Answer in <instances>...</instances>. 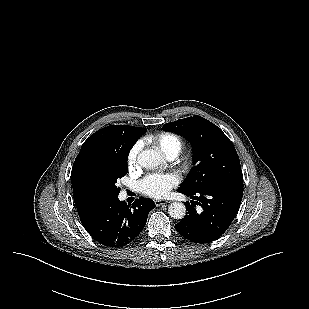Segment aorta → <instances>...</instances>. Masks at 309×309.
<instances>
[{"label": "aorta", "instance_id": "1", "mask_svg": "<svg viewBox=\"0 0 309 309\" xmlns=\"http://www.w3.org/2000/svg\"><path fill=\"white\" fill-rule=\"evenodd\" d=\"M138 164L145 169H153L163 161L160 152L153 149L141 151L137 157ZM169 215L174 219H182L186 215V207L182 202H173L168 207Z\"/></svg>", "mask_w": 309, "mask_h": 309}]
</instances>
